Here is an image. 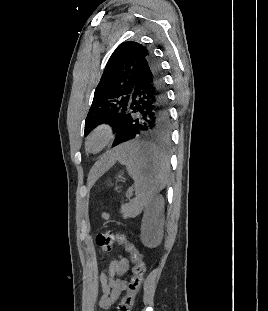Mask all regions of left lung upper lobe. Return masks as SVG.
Listing matches in <instances>:
<instances>
[{
	"label": "left lung upper lobe",
	"instance_id": "5c2ea615",
	"mask_svg": "<svg viewBox=\"0 0 268 311\" xmlns=\"http://www.w3.org/2000/svg\"><path fill=\"white\" fill-rule=\"evenodd\" d=\"M151 54L146 46L133 41L115 49L95 90L85 120V135L101 123L110 124L113 131L118 132L128 113L138 68Z\"/></svg>",
	"mask_w": 268,
	"mask_h": 311
}]
</instances>
